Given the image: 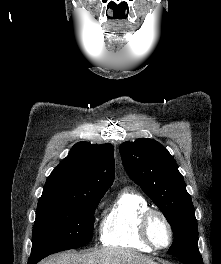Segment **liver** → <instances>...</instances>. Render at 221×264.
<instances>
[{
	"instance_id": "6515ba94",
	"label": "liver",
	"mask_w": 221,
	"mask_h": 264,
	"mask_svg": "<svg viewBox=\"0 0 221 264\" xmlns=\"http://www.w3.org/2000/svg\"><path fill=\"white\" fill-rule=\"evenodd\" d=\"M149 257L121 248H104L87 253L66 252L45 259L40 264H147Z\"/></svg>"
}]
</instances>
